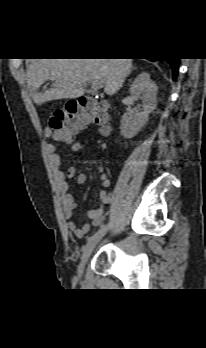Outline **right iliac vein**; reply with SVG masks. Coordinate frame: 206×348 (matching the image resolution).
<instances>
[{
	"instance_id": "right-iliac-vein-1",
	"label": "right iliac vein",
	"mask_w": 206,
	"mask_h": 348,
	"mask_svg": "<svg viewBox=\"0 0 206 348\" xmlns=\"http://www.w3.org/2000/svg\"><path fill=\"white\" fill-rule=\"evenodd\" d=\"M108 229H109V226H102L94 235H92L88 239V241L84 247L83 253H82L80 264L78 266L79 276L82 275L83 270H84V266H85L88 258L92 254L95 246L104 237V235L107 233Z\"/></svg>"
}]
</instances>
